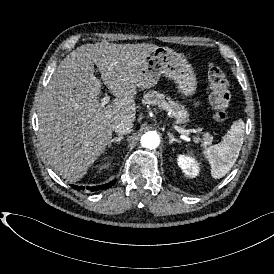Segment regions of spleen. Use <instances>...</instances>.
<instances>
[{"label":"spleen","mask_w":274,"mask_h":274,"mask_svg":"<svg viewBox=\"0 0 274 274\" xmlns=\"http://www.w3.org/2000/svg\"><path fill=\"white\" fill-rule=\"evenodd\" d=\"M245 124L242 119L235 120L223 141L204 148L200 155L207 160L213 179L222 178L236 162L243 144Z\"/></svg>","instance_id":"1"}]
</instances>
